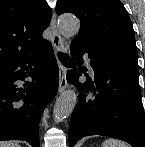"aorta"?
Instances as JSON below:
<instances>
[{
	"label": "aorta",
	"mask_w": 145,
	"mask_h": 147,
	"mask_svg": "<svg viewBox=\"0 0 145 147\" xmlns=\"http://www.w3.org/2000/svg\"><path fill=\"white\" fill-rule=\"evenodd\" d=\"M58 28L64 36H73L78 33L80 29L79 20L71 15L65 14L58 19ZM78 95L74 90L68 89L63 92L56 100L54 106V120L60 122L70 116L77 104Z\"/></svg>",
	"instance_id": "1"
}]
</instances>
